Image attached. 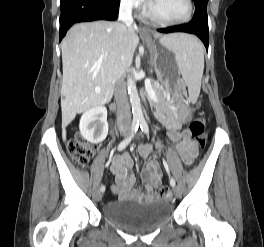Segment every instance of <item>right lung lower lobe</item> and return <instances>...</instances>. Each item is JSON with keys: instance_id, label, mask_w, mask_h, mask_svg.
Here are the masks:
<instances>
[{"instance_id": "right-lung-lower-lobe-1", "label": "right lung lower lobe", "mask_w": 264, "mask_h": 247, "mask_svg": "<svg viewBox=\"0 0 264 247\" xmlns=\"http://www.w3.org/2000/svg\"><path fill=\"white\" fill-rule=\"evenodd\" d=\"M120 0H60V40L75 23L116 20Z\"/></svg>"}]
</instances>
